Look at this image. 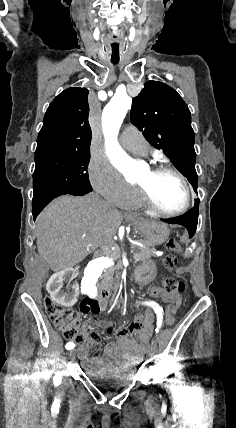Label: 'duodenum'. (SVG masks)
Wrapping results in <instances>:
<instances>
[{"label": "duodenum", "mask_w": 236, "mask_h": 428, "mask_svg": "<svg viewBox=\"0 0 236 428\" xmlns=\"http://www.w3.org/2000/svg\"><path fill=\"white\" fill-rule=\"evenodd\" d=\"M95 297H97L101 301H106L109 299L113 291L111 287L107 283H101L97 286V289L94 291Z\"/></svg>", "instance_id": "duodenum-1"}]
</instances>
